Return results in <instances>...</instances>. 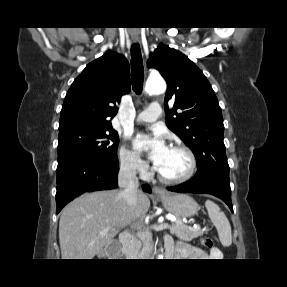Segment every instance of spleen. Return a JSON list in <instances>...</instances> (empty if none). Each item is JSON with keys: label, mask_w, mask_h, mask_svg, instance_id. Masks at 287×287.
<instances>
[{"label": "spleen", "mask_w": 287, "mask_h": 287, "mask_svg": "<svg viewBox=\"0 0 287 287\" xmlns=\"http://www.w3.org/2000/svg\"><path fill=\"white\" fill-rule=\"evenodd\" d=\"M205 207L208 211L209 218L218 231V236L221 244L228 247L232 244V233L229 220L219 206L211 200L205 202Z\"/></svg>", "instance_id": "obj_1"}]
</instances>
